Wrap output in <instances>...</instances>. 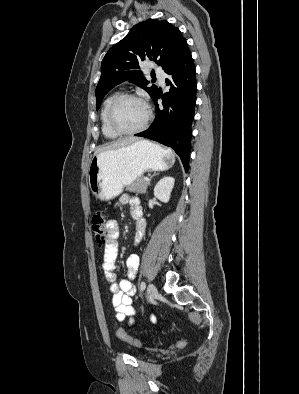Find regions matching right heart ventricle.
I'll list each match as a JSON object with an SVG mask.
<instances>
[{
	"label": "right heart ventricle",
	"mask_w": 299,
	"mask_h": 394,
	"mask_svg": "<svg viewBox=\"0 0 299 394\" xmlns=\"http://www.w3.org/2000/svg\"><path fill=\"white\" fill-rule=\"evenodd\" d=\"M118 92H114L110 94L109 96L106 97V99L103 102L102 108H101V113H100V121H101V131L103 135L108 138V139H115L118 137L116 133H114L110 127L108 126L107 123V112L108 108L113 101V99L118 96Z\"/></svg>",
	"instance_id": "obj_1"
}]
</instances>
